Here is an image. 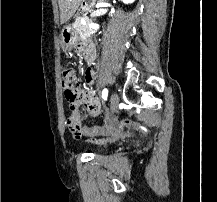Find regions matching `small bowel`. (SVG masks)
I'll return each instance as SVG.
<instances>
[{
    "instance_id": "small-bowel-1",
    "label": "small bowel",
    "mask_w": 217,
    "mask_h": 202,
    "mask_svg": "<svg viewBox=\"0 0 217 202\" xmlns=\"http://www.w3.org/2000/svg\"><path fill=\"white\" fill-rule=\"evenodd\" d=\"M84 46L87 47L91 59L94 60L96 57L95 46L90 42L83 43L82 47L79 50L80 54L85 53V50L83 48ZM95 77V71L92 68H88L85 72L86 83L89 85L93 84L95 81ZM81 104H84L86 111L89 113L91 117H97L103 111L102 104L98 99L97 95L95 94V92L93 91H88L84 94L83 101ZM70 116H76V121H73L78 127L77 131L73 133L76 139H80L82 135H87L91 138L93 142L104 143L107 141L115 140L119 135V131H81V126L87 125L82 124L80 112L78 110H72Z\"/></svg>"
}]
</instances>
